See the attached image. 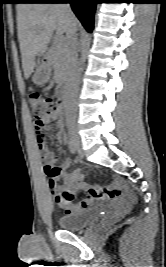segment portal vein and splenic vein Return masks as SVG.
I'll return each instance as SVG.
<instances>
[{
    "label": "portal vein and splenic vein",
    "mask_w": 166,
    "mask_h": 267,
    "mask_svg": "<svg viewBox=\"0 0 166 267\" xmlns=\"http://www.w3.org/2000/svg\"><path fill=\"white\" fill-rule=\"evenodd\" d=\"M56 42H57V43H61L62 40L57 38V41H56Z\"/></svg>",
    "instance_id": "18ae733b"
}]
</instances>
